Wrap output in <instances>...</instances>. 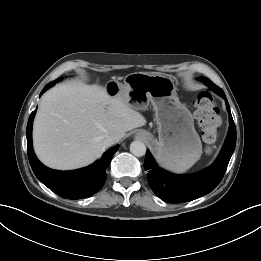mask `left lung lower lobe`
Masks as SVG:
<instances>
[{"mask_svg":"<svg viewBox=\"0 0 261 261\" xmlns=\"http://www.w3.org/2000/svg\"><path fill=\"white\" fill-rule=\"evenodd\" d=\"M199 80L225 99L230 122L228 135L215 162L207 169L192 175H175L159 168L147 150L144 169L148 171L149 185L160 199L168 203L192 201L210 193L222 180L235 149L236 128L224 92L206 77Z\"/></svg>","mask_w":261,"mask_h":261,"instance_id":"left-lung-lower-lobe-1","label":"left lung lower lobe"}]
</instances>
